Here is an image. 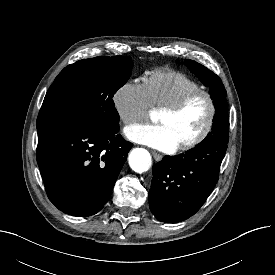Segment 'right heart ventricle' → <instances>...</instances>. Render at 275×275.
<instances>
[{
  "instance_id": "obj_1",
  "label": "right heart ventricle",
  "mask_w": 275,
  "mask_h": 275,
  "mask_svg": "<svg viewBox=\"0 0 275 275\" xmlns=\"http://www.w3.org/2000/svg\"><path fill=\"white\" fill-rule=\"evenodd\" d=\"M144 85L152 107L162 108L175 103L185 94L201 89L188 75L174 70H155L145 79Z\"/></svg>"
}]
</instances>
